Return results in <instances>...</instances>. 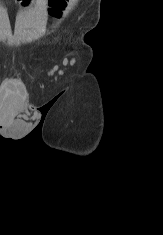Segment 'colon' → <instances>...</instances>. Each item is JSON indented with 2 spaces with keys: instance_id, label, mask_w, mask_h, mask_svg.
I'll return each instance as SVG.
<instances>
[{
  "instance_id": "obj_1",
  "label": "colon",
  "mask_w": 163,
  "mask_h": 235,
  "mask_svg": "<svg viewBox=\"0 0 163 235\" xmlns=\"http://www.w3.org/2000/svg\"><path fill=\"white\" fill-rule=\"evenodd\" d=\"M31 0H22L24 5H28ZM68 0H49L48 9L51 17L58 19L61 17Z\"/></svg>"
}]
</instances>
